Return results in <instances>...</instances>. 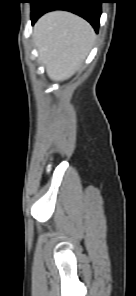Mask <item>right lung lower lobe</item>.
I'll use <instances>...</instances> for the list:
<instances>
[{"label": "right lung lower lobe", "instance_id": "right-lung-lower-lobe-1", "mask_svg": "<svg viewBox=\"0 0 136 296\" xmlns=\"http://www.w3.org/2000/svg\"><path fill=\"white\" fill-rule=\"evenodd\" d=\"M103 0H37L32 6V24L51 10H67L86 19L98 32Z\"/></svg>", "mask_w": 136, "mask_h": 296}]
</instances>
